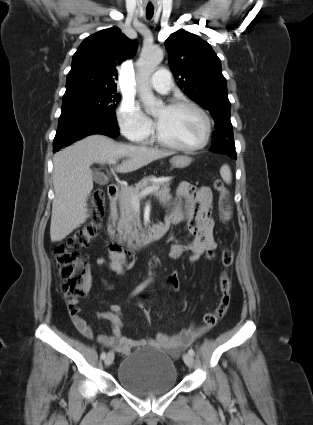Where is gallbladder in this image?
<instances>
[{"mask_svg": "<svg viewBox=\"0 0 313 425\" xmlns=\"http://www.w3.org/2000/svg\"><path fill=\"white\" fill-rule=\"evenodd\" d=\"M93 180L100 185L106 184L107 182L105 175L100 172L93 173Z\"/></svg>", "mask_w": 313, "mask_h": 425, "instance_id": "1", "label": "gallbladder"}]
</instances>
